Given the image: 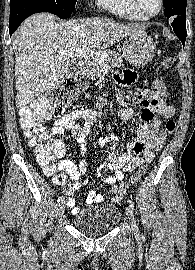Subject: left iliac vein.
I'll use <instances>...</instances> for the list:
<instances>
[{"instance_id": "obj_1", "label": "left iliac vein", "mask_w": 195, "mask_h": 270, "mask_svg": "<svg viewBox=\"0 0 195 270\" xmlns=\"http://www.w3.org/2000/svg\"><path fill=\"white\" fill-rule=\"evenodd\" d=\"M126 214H127L128 219H129V221H130L131 230H132L133 232H135L137 226H136V222H135L134 217H133V213H132L131 207H127V208H126Z\"/></svg>"}]
</instances>
